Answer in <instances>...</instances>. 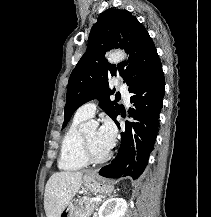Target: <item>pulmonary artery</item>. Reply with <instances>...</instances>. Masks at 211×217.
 <instances>
[{"label": "pulmonary artery", "mask_w": 211, "mask_h": 217, "mask_svg": "<svg viewBox=\"0 0 211 217\" xmlns=\"http://www.w3.org/2000/svg\"><path fill=\"white\" fill-rule=\"evenodd\" d=\"M119 91L121 92L122 96L125 99L126 103H129L130 100V94L128 92V89L126 88L125 85H119ZM96 102L94 100L88 101L81 105L77 111H76V116L81 117L83 119H88L94 116L95 111H96Z\"/></svg>", "instance_id": "obj_1"}]
</instances>
